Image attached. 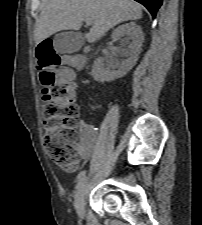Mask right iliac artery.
Returning <instances> with one entry per match:
<instances>
[{
	"instance_id": "1",
	"label": "right iliac artery",
	"mask_w": 202,
	"mask_h": 225,
	"mask_svg": "<svg viewBox=\"0 0 202 225\" xmlns=\"http://www.w3.org/2000/svg\"><path fill=\"white\" fill-rule=\"evenodd\" d=\"M85 174H86V171H82V172H80L79 174H78V176H77V187H78V185H79V183L84 179V177H85Z\"/></svg>"
}]
</instances>
